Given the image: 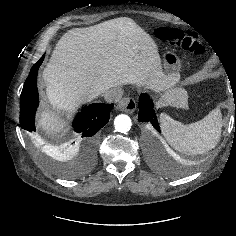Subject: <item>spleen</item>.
<instances>
[{
	"label": "spleen",
	"instance_id": "obj_1",
	"mask_svg": "<svg viewBox=\"0 0 236 236\" xmlns=\"http://www.w3.org/2000/svg\"><path fill=\"white\" fill-rule=\"evenodd\" d=\"M160 125L165 139L175 150L187 155L206 154L219 143L222 116L216 108L197 122L183 124L161 113Z\"/></svg>",
	"mask_w": 236,
	"mask_h": 236
}]
</instances>
